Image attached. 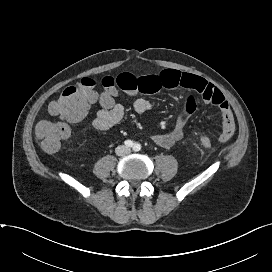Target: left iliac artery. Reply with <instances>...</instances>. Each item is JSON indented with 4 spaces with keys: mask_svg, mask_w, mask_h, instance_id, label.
Masks as SVG:
<instances>
[{
    "mask_svg": "<svg viewBox=\"0 0 272 272\" xmlns=\"http://www.w3.org/2000/svg\"><path fill=\"white\" fill-rule=\"evenodd\" d=\"M141 149V145L140 144H135L134 147H133V150L134 151H139Z\"/></svg>",
    "mask_w": 272,
    "mask_h": 272,
    "instance_id": "obj_1",
    "label": "left iliac artery"
}]
</instances>
